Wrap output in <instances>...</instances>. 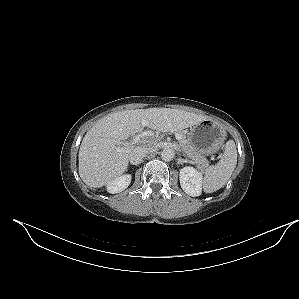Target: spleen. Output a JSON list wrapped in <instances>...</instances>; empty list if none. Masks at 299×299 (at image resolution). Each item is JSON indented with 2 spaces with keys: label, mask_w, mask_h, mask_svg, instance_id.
<instances>
[{
  "label": "spleen",
  "mask_w": 299,
  "mask_h": 299,
  "mask_svg": "<svg viewBox=\"0 0 299 299\" xmlns=\"http://www.w3.org/2000/svg\"><path fill=\"white\" fill-rule=\"evenodd\" d=\"M237 164V150L233 140H229L224 149L221 160L205 170L203 189L212 193L221 189L231 177Z\"/></svg>",
  "instance_id": "1"
}]
</instances>
